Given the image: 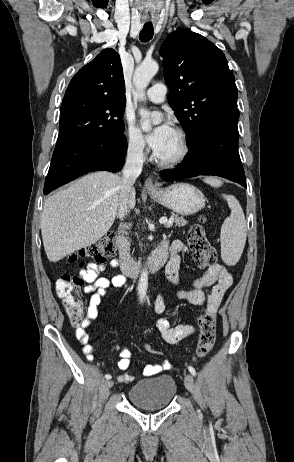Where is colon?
<instances>
[{
  "instance_id": "5ec220e1",
  "label": "colon",
  "mask_w": 294,
  "mask_h": 462,
  "mask_svg": "<svg viewBox=\"0 0 294 462\" xmlns=\"http://www.w3.org/2000/svg\"><path fill=\"white\" fill-rule=\"evenodd\" d=\"M114 232L106 233L97 242L82 248L79 252L69 256L70 262L79 259H91L97 263H104L115 254ZM188 243L193 252L196 265L208 271L216 264L217 252L206 237L201 224L193 225L188 232ZM84 281L70 272L63 273L56 281V293L61 299L71 324L79 325L83 319V302L80 297ZM199 338L196 356L205 357L213 348L216 340V315L208 309L203 310L198 317ZM145 349L151 354L159 352L151 345L146 344Z\"/></svg>"
}]
</instances>
